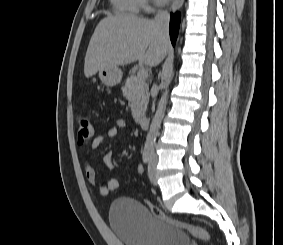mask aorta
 Listing matches in <instances>:
<instances>
[{
    "label": "aorta",
    "instance_id": "obj_1",
    "mask_svg": "<svg viewBox=\"0 0 283 245\" xmlns=\"http://www.w3.org/2000/svg\"><path fill=\"white\" fill-rule=\"evenodd\" d=\"M165 90L159 100L157 110L155 112V115L153 117V120L151 122L147 137H146V142H145V149L147 150H153L155 143H156V138L161 126L162 119L164 117V113L166 110V104H167V97H168V84L165 85Z\"/></svg>",
    "mask_w": 283,
    "mask_h": 245
}]
</instances>
